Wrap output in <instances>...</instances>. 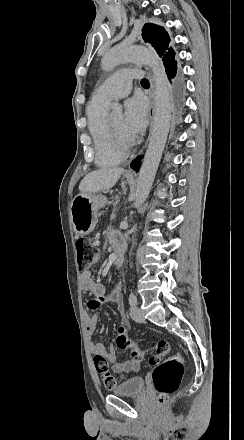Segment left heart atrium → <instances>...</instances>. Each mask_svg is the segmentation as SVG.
Instances as JSON below:
<instances>
[{"label":"left heart atrium","mask_w":244,"mask_h":440,"mask_svg":"<svg viewBox=\"0 0 244 440\" xmlns=\"http://www.w3.org/2000/svg\"><path fill=\"white\" fill-rule=\"evenodd\" d=\"M147 125V104L142 97H132L125 103L124 128L130 133L142 131Z\"/></svg>","instance_id":"left-heart-atrium-1"}]
</instances>
